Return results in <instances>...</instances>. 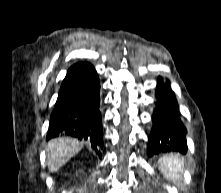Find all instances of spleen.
Wrapping results in <instances>:
<instances>
[{
    "mask_svg": "<svg viewBox=\"0 0 221 193\" xmlns=\"http://www.w3.org/2000/svg\"><path fill=\"white\" fill-rule=\"evenodd\" d=\"M159 163V170L163 173L165 178L173 180L180 178L184 162L179 159L177 155H166L160 158Z\"/></svg>",
    "mask_w": 221,
    "mask_h": 193,
    "instance_id": "3e777b00",
    "label": "spleen"
}]
</instances>
